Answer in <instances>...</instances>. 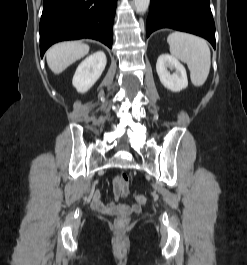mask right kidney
<instances>
[{"label": "right kidney", "mask_w": 247, "mask_h": 265, "mask_svg": "<svg viewBox=\"0 0 247 265\" xmlns=\"http://www.w3.org/2000/svg\"><path fill=\"white\" fill-rule=\"evenodd\" d=\"M106 63L107 59L103 51H97L82 61L72 80L76 90L80 93L87 92L100 78Z\"/></svg>", "instance_id": "right-kidney-1"}]
</instances>
